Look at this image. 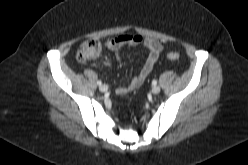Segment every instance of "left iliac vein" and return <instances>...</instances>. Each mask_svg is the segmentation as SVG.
Wrapping results in <instances>:
<instances>
[{"label":"left iliac vein","mask_w":248,"mask_h":165,"mask_svg":"<svg viewBox=\"0 0 248 165\" xmlns=\"http://www.w3.org/2000/svg\"><path fill=\"white\" fill-rule=\"evenodd\" d=\"M159 92H160V87L154 85V86L152 87V93H153V94H158Z\"/></svg>","instance_id":"obj_1"}]
</instances>
